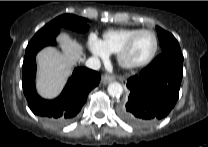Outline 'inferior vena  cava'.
Masks as SVG:
<instances>
[{
  "mask_svg": "<svg viewBox=\"0 0 208 147\" xmlns=\"http://www.w3.org/2000/svg\"><path fill=\"white\" fill-rule=\"evenodd\" d=\"M85 65L93 70H98L101 67V62L97 57H90L86 60Z\"/></svg>",
  "mask_w": 208,
  "mask_h": 147,
  "instance_id": "inferior-vena-cava-1",
  "label": "inferior vena cava"
}]
</instances>
